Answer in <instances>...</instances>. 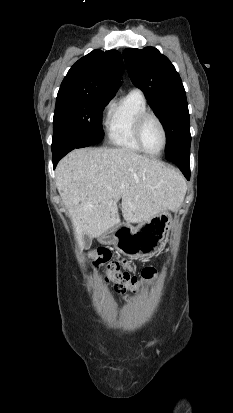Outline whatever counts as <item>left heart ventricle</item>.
I'll list each match as a JSON object with an SVG mask.
<instances>
[{
	"instance_id": "b2bd125f",
	"label": "left heart ventricle",
	"mask_w": 233,
	"mask_h": 413,
	"mask_svg": "<svg viewBox=\"0 0 233 413\" xmlns=\"http://www.w3.org/2000/svg\"><path fill=\"white\" fill-rule=\"evenodd\" d=\"M142 139L145 147L150 152H157L161 149L163 143L162 131L153 118L146 120L142 130Z\"/></svg>"
}]
</instances>
